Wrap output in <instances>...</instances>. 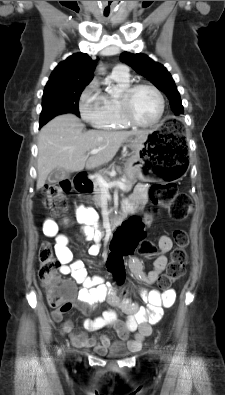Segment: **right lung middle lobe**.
I'll return each mask as SVG.
<instances>
[{
    "label": "right lung middle lobe",
    "mask_w": 225,
    "mask_h": 395,
    "mask_svg": "<svg viewBox=\"0 0 225 395\" xmlns=\"http://www.w3.org/2000/svg\"><path fill=\"white\" fill-rule=\"evenodd\" d=\"M85 86L65 85L45 87L39 126H43L55 116L63 113H73L80 116L79 98Z\"/></svg>",
    "instance_id": "obj_1"
}]
</instances>
